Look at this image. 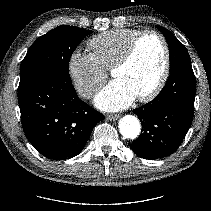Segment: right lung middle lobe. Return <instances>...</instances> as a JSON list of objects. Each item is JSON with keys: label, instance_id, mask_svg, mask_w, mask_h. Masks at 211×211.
I'll return each instance as SVG.
<instances>
[{"label": "right lung middle lobe", "instance_id": "1", "mask_svg": "<svg viewBox=\"0 0 211 211\" xmlns=\"http://www.w3.org/2000/svg\"><path fill=\"white\" fill-rule=\"evenodd\" d=\"M92 31L61 25L35 40L21 63L20 83L51 74L71 82L69 60L82 39Z\"/></svg>", "mask_w": 211, "mask_h": 211}]
</instances>
